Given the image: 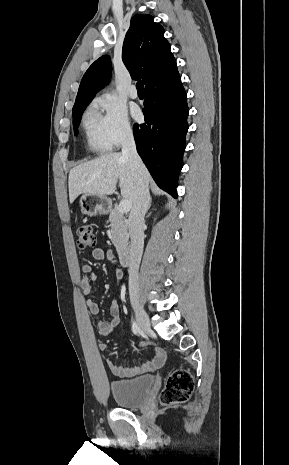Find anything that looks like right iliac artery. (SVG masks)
<instances>
[{"instance_id":"1","label":"right iliac artery","mask_w":289,"mask_h":465,"mask_svg":"<svg viewBox=\"0 0 289 465\" xmlns=\"http://www.w3.org/2000/svg\"><path fill=\"white\" fill-rule=\"evenodd\" d=\"M139 330H140V328H139L138 324L135 321H133V323H132V331H133V333L135 335H137Z\"/></svg>"}]
</instances>
